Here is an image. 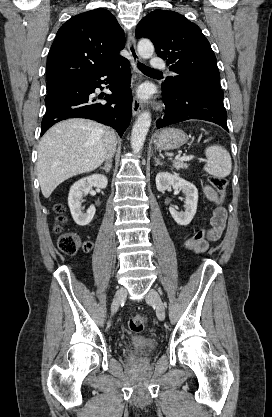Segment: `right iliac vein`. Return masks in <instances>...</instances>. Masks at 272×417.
<instances>
[{"mask_svg":"<svg viewBox=\"0 0 272 417\" xmlns=\"http://www.w3.org/2000/svg\"><path fill=\"white\" fill-rule=\"evenodd\" d=\"M126 295H127V291L124 288H120L116 291L112 305H111L112 314H115L118 311L119 306L121 302L125 299Z\"/></svg>","mask_w":272,"mask_h":417,"instance_id":"1","label":"right iliac vein"}]
</instances>
